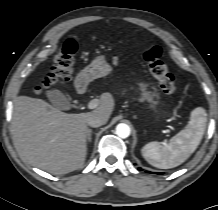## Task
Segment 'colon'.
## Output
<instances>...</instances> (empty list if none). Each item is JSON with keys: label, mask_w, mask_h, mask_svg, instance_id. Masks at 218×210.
Returning a JSON list of instances; mask_svg holds the SVG:
<instances>
[{"label": "colon", "mask_w": 218, "mask_h": 210, "mask_svg": "<svg viewBox=\"0 0 218 210\" xmlns=\"http://www.w3.org/2000/svg\"><path fill=\"white\" fill-rule=\"evenodd\" d=\"M75 51L76 47L72 41H67L63 45L61 52L55 60L51 74L37 88V92H41L43 89L53 85L66 83L70 80L73 71ZM143 56L148 63L150 72L158 80L161 90L165 94H173L176 91L175 78L161 59V47L153 45L145 50Z\"/></svg>", "instance_id": "5ec220e1"}]
</instances>
